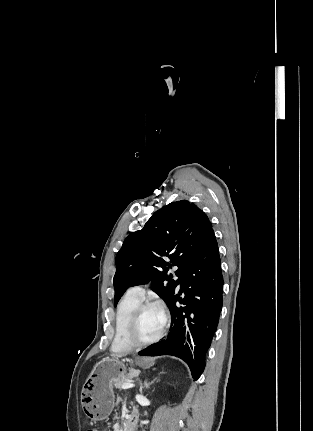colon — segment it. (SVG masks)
<instances>
[{"mask_svg":"<svg viewBox=\"0 0 313 431\" xmlns=\"http://www.w3.org/2000/svg\"><path fill=\"white\" fill-rule=\"evenodd\" d=\"M87 431H99L98 429H96V428H90V429H88Z\"/></svg>","mask_w":313,"mask_h":431,"instance_id":"obj_1","label":"colon"}]
</instances>
